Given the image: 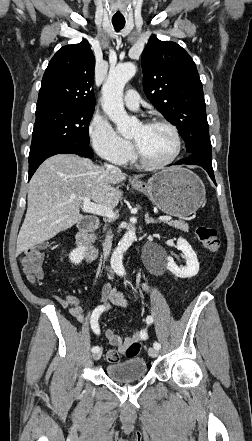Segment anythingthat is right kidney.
Segmentation results:
<instances>
[{
	"label": "right kidney",
	"mask_w": 252,
	"mask_h": 441,
	"mask_svg": "<svg viewBox=\"0 0 252 441\" xmlns=\"http://www.w3.org/2000/svg\"><path fill=\"white\" fill-rule=\"evenodd\" d=\"M85 249L79 246L78 248L72 250L69 254V259L74 264H79L84 259Z\"/></svg>",
	"instance_id": "obj_1"
}]
</instances>
